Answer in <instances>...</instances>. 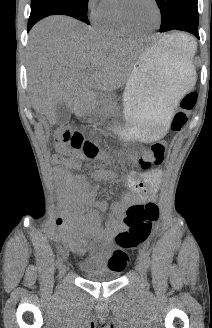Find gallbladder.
Instances as JSON below:
<instances>
[{"mask_svg":"<svg viewBox=\"0 0 212 328\" xmlns=\"http://www.w3.org/2000/svg\"><path fill=\"white\" fill-rule=\"evenodd\" d=\"M56 123L58 125H65L71 118L72 108L63 102L57 103L56 107Z\"/></svg>","mask_w":212,"mask_h":328,"instance_id":"gallbladder-1","label":"gallbladder"}]
</instances>
